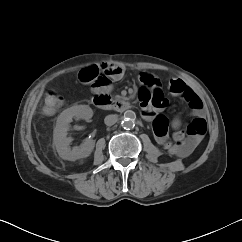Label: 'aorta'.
I'll return each mask as SVG.
<instances>
[{"mask_svg":"<svg viewBox=\"0 0 242 242\" xmlns=\"http://www.w3.org/2000/svg\"><path fill=\"white\" fill-rule=\"evenodd\" d=\"M135 119H136V114L132 110H127L124 112V117L121 122V125L124 129L130 130L134 128L135 126Z\"/></svg>","mask_w":242,"mask_h":242,"instance_id":"obj_1","label":"aorta"}]
</instances>
